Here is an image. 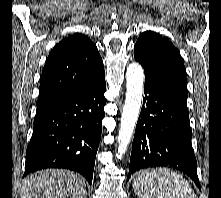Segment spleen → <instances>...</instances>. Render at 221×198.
Wrapping results in <instances>:
<instances>
[{"label": "spleen", "mask_w": 221, "mask_h": 198, "mask_svg": "<svg viewBox=\"0 0 221 198\" xmlns=\"http://www.w3.org/2000/svg\"><path fill=\"white\" fill-rule=\"evenodd\" d=\"M133 188L139 198H197L189 183L168 168L139 173Z\"/></svg>", "instance_id": "3e777b00"}]
</instances>
